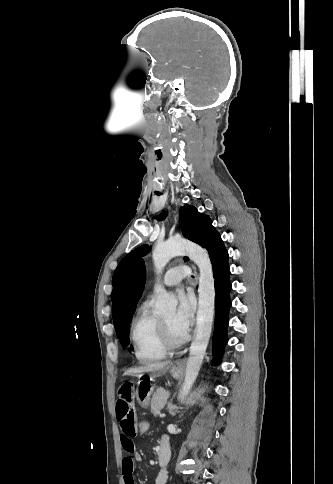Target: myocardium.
Masks as SVG:
<instances>
[{
    "label": "myocardium",
    "instance_id": "obj_1",
    "mask_svg": "<svg viewBox=\"0 0 333 484\" xmlns=\"http://www.w3.org/2000/svg\"><path fill=\"white\" fill-rule=\"evenodd\" d=\"M158 329L160 339L166 350L178 348L183 345L188 339L187 334H183L181 337L178 338L173 337L166 323L161 318H158Z\"/></svg>",
    "mask_w": 333,
    "mask_h": 484
}]
</instances>
